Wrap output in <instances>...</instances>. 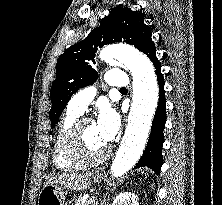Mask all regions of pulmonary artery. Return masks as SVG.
I'll list each match as a JSON object with an SVG mask.
<instances>
[{"mask_svg":"<svg viewBox=\"0 0 222 205\" xmlns=\"http://www.w3.org/2000/svg\"><path fill=\"white\" fill-rule=\"evenodd\" d=\"M107 83L113 88L121 89L128 86L129 79L125 72L112 69L107 72ZM95 95L94 87H86L78 91L69 101L68 110L82 114Z\"/></svg>","mask_w":222,"mask_h":205,"instance_id":"1","label":"pulmonary artery"}]
</instances>
